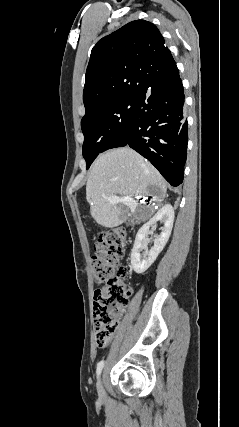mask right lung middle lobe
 Returning a JSON list of instances; mask_svg holds the SVG:
<instances>
[{
    "label": "right lung middle lobe",
    "mask_w": 239,
    "mask_h": 427,
    "mask_svg": "<svg viewBox=\"0 0 239 427\" xmlns=\"http://www.w3.org/2000/svg\"><path fill=\"white\" fill-rule=\"evenodd\" d=\"M136 98H119L94 104L81 120L82 147L87 169L99 153L128 140Z\"/></svg>",
    "instance_id": "obj_1"
}]
</instances>
